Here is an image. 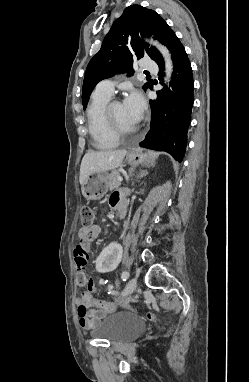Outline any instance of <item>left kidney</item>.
I'll return each mask as SVG.
<instances>
[{
    "mask_svg": "<svg viewBox=\"0 0 249 382\" xmlns=\"http://www.w3.org/2000/svg\"><path fill=\"white\" fill-rule=\"evenodd\" d=\"M124 245L120 241H113L112 245H105L104 252L96 257L93 266L98 273H115L116 267H122Z\"/></svg>",
    "mask_w": 249,
    "mask_h": 382,
    "instance_id": "1",
    "label": "left kidney"
}]
</instances>
